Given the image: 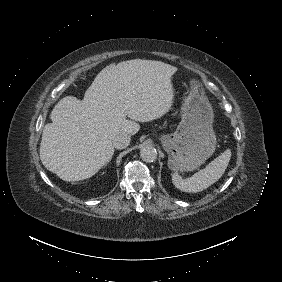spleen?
<instances>
[{
    "instance_id": "1",
    "label": "spleen",
    "mask_w": 282,
    "mask_h": 282,
    "mask_svg": "<svg viewBox=\"0 0 282 282\" xmlns=\"http://www.w3.org/2000/svg\"><path fill=\"white\" fill-rule=\"evenodd\" d=\"M231 158V150H225L211 161L204 169L192 177L182 179L177 173L172 175V182L176 188L184 192H200L217 182L224 174Z\"/></svg>"
}]
</instances>
